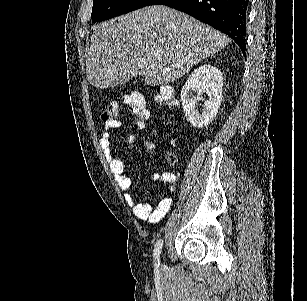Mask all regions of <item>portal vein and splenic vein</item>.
<instances>
[{"mask_svg":"<svg viewBox=\"0 0 307 301\" xmlns=\"http://www.w3.org/2000/svg\"><path fill=\"white\" fill-rule=\"evenodd\" d=\"M155 56H160V54H155Z\"/></svg>","mask_w":307,"mask_h":301,"instance_id":"1","label":"portal vein and splenic vein"}]
</instances>
